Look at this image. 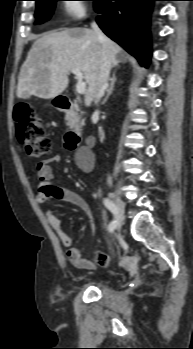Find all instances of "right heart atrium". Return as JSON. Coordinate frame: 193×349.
I'll use <instances>...</instances> for the list:
<instances>
[{"instance_id": "1", "label": "right heart atrium", "mask_w": 193, "mask_h": 349, "mask_svg": "<svg viewBox=\"0 0 193 349\" xmlns=\"http://www.w3.org/2000/svg\"><path fill=\"white\" fill-rule=\"evenodd\" d=\"M89 10V6L82 0H65L63 3L64 16L67 20L82 19Z\"/></svg>"}]
</instances>
